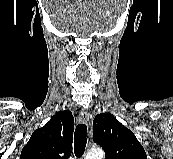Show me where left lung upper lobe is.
Instances as JSON below:
<instances>
[{
	"mask_svg": "<svg viewBox=\"0 0 173 159\" xmlns=\"http://www.w3.org/2000/svg\"><path fill=\"white\" fill-rule=\"evenodd\" d=\"M93 129V139L104 149L105 159H147L144 148L133 132L112 114L97 115Z\"/></svg>",
	"mask_w": 173,
	"mask_h": 159,
	"instance_id": "1",
	"label": "left lung upper lobe"
}]
</instances>
